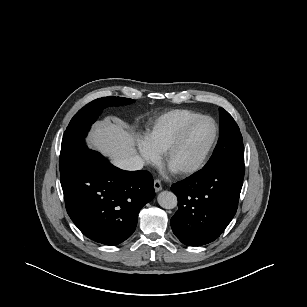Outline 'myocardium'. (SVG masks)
Returning <instances> with one entry per match:
<instances>
[{
  "mask_svg": "<svg viewBox=\"0 0 307 307\" xmlns=\"http://www.w3.org/2000/svg\"><path fill=\"white\" fill-rule=\"evenodd\" d=\"M202 120H209L214 125V136H213V139H212L210 145L208 146L207 150L203 154L202 158L196 164H194L193 166L183 168V169H179V170H172L169 167V160H170L172 154L177 149V147L180 145V143L183 141V139L185 138L187 133L190 131V129L195 124H197L198 122H200ZM219 133H220L219 125L216 122V120L211 116L200 115V116L190 120L180 129V131L177 133V135L173 138V140L170 142V144L167 146V148L163 152V162H164L165 166L167 168H169L170 170H172L173 173H175L176 175H179V176H189V175L195 174L196 172L200 171L207 164L211 154L213 153V151H214V149L217 145L218 139H219Z\"/></svg>",
  "mask_w": 307,
  "mask_h": 307,
  "instance_id": "obj_1",
  "label": "myocardium"
}]
</instances>
